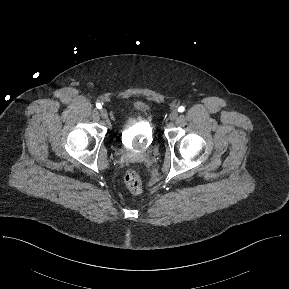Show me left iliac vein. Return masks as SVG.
I'll return each instance as SVG.
<instances>
[{
  "label": "left iliac vein",
  "mask_w": 289,
  "mask_h": 289,
  "mask_svg": "<svg viewBox=\"0 0 289 289\" xmlns=\"http://www.w3.org/2000/svg\"><path fill=\"white\" fill-rule=\"evenodd\" d=\"M178 117V113L176 112V110H173L170 115H169V119L170 120H175Z\"/></svg>",
  "instance_id": "obj_1"
}]
</instances>
